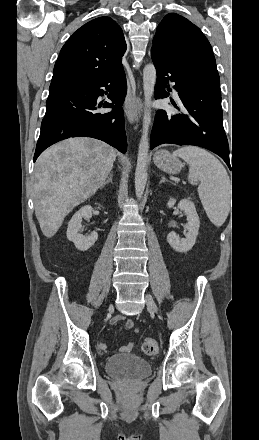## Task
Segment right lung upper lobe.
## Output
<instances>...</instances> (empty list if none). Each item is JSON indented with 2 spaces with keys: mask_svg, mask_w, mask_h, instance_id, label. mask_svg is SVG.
Instances as JSON below:
<instances>
[{
  "mask_svg": "<svg viewBox=\"0 0 259 440\" xmlns=\"http://www.w3.org/2000/svg\"><path fill=\"white\" fill-rule=\"evenodd\" d=\"M126 42L120 26L103 16L86 23L68 39L55 63L50 88L100 79L122 66Z\"/></svg>",
  "mask_w": 259,
  "mask_h": 440,
  "instance_id": "1",
  "label": "right lung upper lobe"
}]
</instances>
